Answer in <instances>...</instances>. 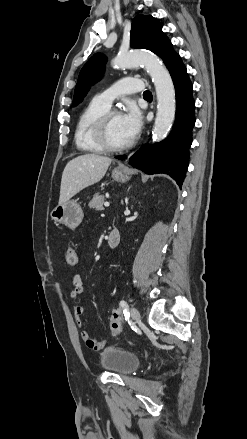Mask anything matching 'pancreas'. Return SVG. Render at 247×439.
<instances>
[{
  "label": "pancreas",
  "instance_id": "obj_1",
  "mask_svg": "<svg viewBox=\"0 0 247 439\" xmlns=\"http://www.w3.org/2000/svg\"><path fill=\"white\" fill-rule=\"evenodd\" d=\"M105 197L103 195H100L99 193H96L93 198L89 202V207L94 208L96 210H103V204H104Z\"/></svg>",
  "mask_w": 247,
  "mask_h": 439
}]
</instances>
